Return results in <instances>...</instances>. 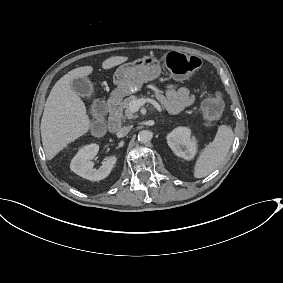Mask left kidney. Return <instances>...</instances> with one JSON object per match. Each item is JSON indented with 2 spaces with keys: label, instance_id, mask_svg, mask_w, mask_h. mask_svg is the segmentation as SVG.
Masks as SVG:
<instances>
[{
  "label": "left kidney",
  "instance_id": "1",
  "mask_svg": "<svg viewBox=\"0 0 283 283\" xmlns=\"http://www.w3.org/2000/svg\"><path fill=\"white\" fill-rule=\"evenodd\" d=\"M169 147L177 156L186 160L193 158L196 148L190 141V130L184 127L174 129L167 137Z\"/></svg>",
  "mask_w": 283,
  "mask_h": 283
}]
</instances>
